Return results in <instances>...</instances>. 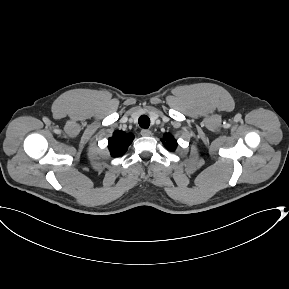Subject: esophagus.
Listing matches in <instances>:
<instances>
[{"instance_id": "esophagus-1", "label": "esophagus", "mask_w": 289, "mask_h": 289, "mask_svg": "<svg viewBox=\"0 0 289 289\" xmlns=\"http://www.w3.org/2000/svg\"><path fill=\"white\" fill-rule=\"evenodd\" d=\"M141 135L144 137H148L151 135V131L149 129H142L141 130Z\"/></svg>"}]
</instances>
